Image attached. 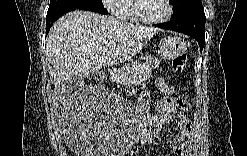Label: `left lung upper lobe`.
I'll list each match as a JSON object with an SVG mask.
<instances>
[{
    "instance_id": "1",
    "label": "left lung upper lobe",
    "mask_w": 247,
    "mask_h": 156,
    "mask_svg": "<svg viewBox=\"0 0 247 156\" xmlns=\"http://www.w3.org/2000/svg\"><path fill=\"white\" fill-rule=\"evenodd\" d=\"M173 15L171 19H177L185 15L192 7L201 4V0H172Z\"/></svg>"
}]
</instances>
